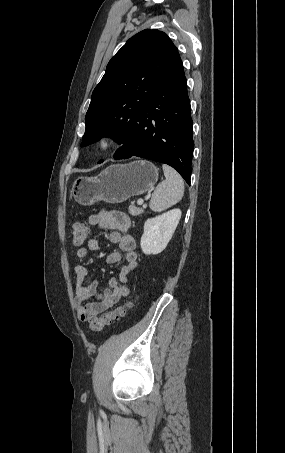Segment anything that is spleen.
Wrapping results in <instances>:
<instances>
[{
  "label": "spleen",
  "mask_w": 285,
  "mask_h": 453,
  "mask_svg": "<svg viewBox=\"0 0 285 453\" xmlns=\"http://www.w3.org/2000/svg\"><path fill=\"white\" fill-rule=\"evenodd\" d=\"M162 168L166 179L156 187L149 204L154 212L170 208L178 203L184 194V182L178 172L166 164Z\"/></svg>",
  "instance_id": "3e777b00"
}]
</instances>
